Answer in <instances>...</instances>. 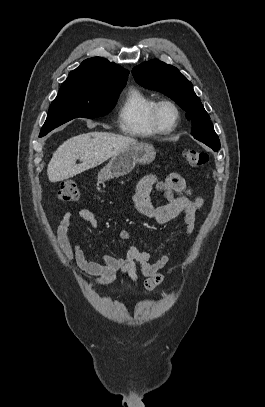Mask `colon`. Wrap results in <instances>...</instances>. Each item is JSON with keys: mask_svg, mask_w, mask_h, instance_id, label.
I'll list each match as a JSON object with an SVG mask.
<instances>
[{"mask_svg": "<svg viewBox=\"0 0 265 407\" xmlns=\"http://www.w3.org/2000/svg\"><path fill=\"white\" fill-rule=\"evenodd\" d=\"M183 157L187 164L196 167L204 166L209 160L207 153L196 149H185ZM57 198L62 202H76L81 198V191L76 183L67 181L60 186Z\"/></svg>", "mask_w": 265, "mask_h": 407, "instance_id": "obj_1", "label": "colon"}]
</instances>
